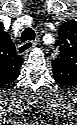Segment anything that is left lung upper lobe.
<instances>
[{
    "label": "left lung upper lobe",
    "mask_w": 77,
    "mask_h": 125,
    "mask_svg": "<svg viewBox=\"0 0 77 125\" xmlns=\"http://www.w3.org/2000/svg\"><path fill=\"white\" fill-rule=\"evenodd\" d=\"M59 47V56L52 64L68 65L77 67V22L68 21L59 28V40L56 42ZM72 84V79L66 85Z\"/></svg>",
    "instance_id": "left-lung-upper-lobe-1"
}]
</instances>
